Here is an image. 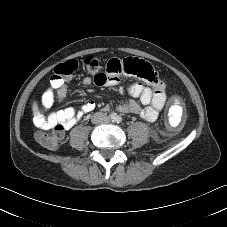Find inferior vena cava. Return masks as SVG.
<instances>
[{
    "mask_svg": "<svg viewBox=\"0 0 227 227\" xmlns=\"http://www.w3.org/2000/svg\"><path fill=\"white\" fill-rule=\"evenodd\" d=\"M107 121L108 117L102 112L95 113L92 117V122L95 124L106 123Z\"/></svg>",
    "mask_w": 227,
    "mask_h": 227,
    "instance_id": "inferior-vena-cava-1",
    "label": "inferior vena cava"
}]
</instances>
